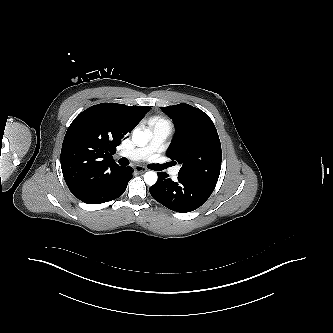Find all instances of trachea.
Segmentation results:
<instances>
[{
    "label": "trachea",
    "mask_w": 333,
    "mask_h": 333,
    "mask_svg": "<svg viewBox=\"0 0 333 333\" xmlns=\"http://www.w3.org/2000/svg\"><path fill=\"white\" fill-rule=\"evenodd\" d=\"M118 163L122 166H127L129 164V161L126 158H121V159H119ZM170 166H171V163L158 164V165H156L155 169L160 171V170H164Z\"/></svg>",
    "instance_id": "obj_1"
}]
</instances>
